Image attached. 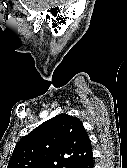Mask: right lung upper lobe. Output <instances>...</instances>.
Listing matches in <instances>:
<instances>
[{"instance_id":"1","label":"right lung upper lobe","mask_w":127,"mask_h":168,"mask_svg":"<svg viewBox=\"0 0 127 168\" xmlns=\"http://www.w3.org/2000/svg\"><path fill=\"white\" fill-rule=\"evenodd\" d=\"M91 156V142L80 119L59 114L18 142L8 168H75Z\"/></svg>"}]
</instances>
